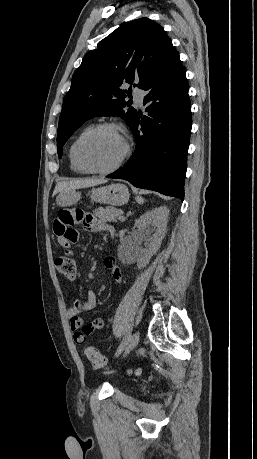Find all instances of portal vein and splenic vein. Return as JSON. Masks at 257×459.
<instances>
[{
  "label": "portal vein and splenic vein",
  "mask_w": 257,
  "mask_h": 459,
  "mask_svg": "<svg viewBox=\"0 0 257 459\" xmlns=\"http://www.w3.org/2000/svg\"><path fill=\"white\" fill-rule=\"evenodd\" d=\"M119 219H120V220H124V217H123V216H120Z\"/></svg>",
  "instance_id": "18ae733b"
}]
</instances>
